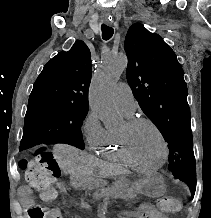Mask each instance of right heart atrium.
Here are the masks:
<instances>
[{"label": "right heart atrium", "instance_id": "d8ad5b80", "mask_svg": "<svg viewBox=\"0 0 211 218\" xmlns=\"http://www.w3.org/2000/svg\"><path fill=\"white\" fill-rule=\"evenodd\" d=\"M81 129L89 146L92 148H95L98 145L106 132L98 115L92 110L84 117Z\"/></svg>", "mask_w": 211, "mask_h": 218}]
</instances>
